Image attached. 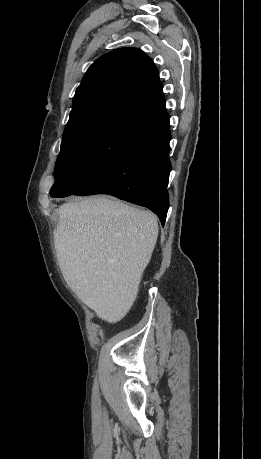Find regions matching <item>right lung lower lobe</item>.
I'll use <instances>...</instances> for the list:
<instances>
[{"instance_id":"98d812e1","label":"right lung lower lobe","mask_w":261,"mask_h":459,"mask_svg":"<svg viewBox=\"0 0 261 459\" xmlns=\"http://www.w3.org/2000/svg\"><path fill=\"white\" fill-rule=\"evenodd\" d=\"M169 117L157 123L129 151L94 176L74 195L109 194L156 213L164 225L169 208L167 185Z\"/></svg>"}]
</instances>
